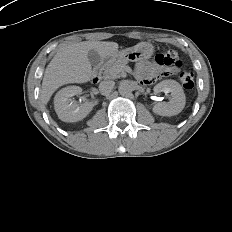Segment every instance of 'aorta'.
<instances>
[{
    "label": "aorta",
    "mask_w": 232,
    "mask_h": 232,
    "mask_svg": "<svg viewBox=\"0 0 232 232\" xmlns=\"http://www.w3.org/2000/svg\"><path fill=\"white\" fill-rule=\"evenodd\" d=\"M118 91L121 95H128L129 93H131L132 89L131 86L127 83V82H122L119 85Z\"/></svg>",
    "instance_id": "obj_1"
}]
</instances>
